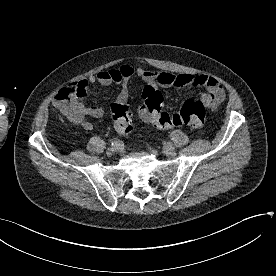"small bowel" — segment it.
I'll return each instance as SVG.
<instances>
[{"label":"small bowel","instance_id":"obj_1","mask_svg":"<svg viewBox=\"0 0 276 276\" xmlns=\"http://www.w3.org/2000/svg\"><path fill=\"white\" fill-rule=\"evenodd\" d=\"M133 75H137L148 84L156 83L164 88H181L186 86L204 87L206 91L201 94L200 101L210 109H215L225 99L223 86L212 76L186 73L176 75L170 72L151 71L142 67L134 68L129 64H123L117 68L100 70L96 74L77 82L76 84L82 88L83 93L74 100L77 115L68 119L74 124L80 125L85 130H91L93 127L92 123L86 120L85 117L101 118L104 115V109L100 106H88L84 103L88 86L94 84L103 86L112 84L120 85L121 90L115 103L124 104L127 103L129 98L128 82ZM56 106L58 107L57 102ZM140 116L145 122H149L143 114L140 113Z\"/></svg>","mask_w":276,"mask_h":276}]
</instances>
